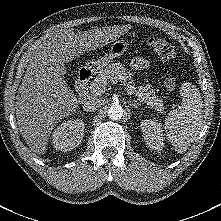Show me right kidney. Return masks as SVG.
I'll use <instances>...</instances> for the list:
<instances>
[{
    "label": "right kidney",
    "instance_id": "1",
    "mask_svg": "<svg viewBox=\"0 0 221 221\" xmlns=\"http://www.w3.org/2000/svg\"><path fill=\"white\" fill-rule=\"evenodd\" d=\"M84 128L81 119L68 120L59 125L52 135L55 150L66 152L77 147L83 138Z\"/></svg>",
    "mask_w": 221,
    "mask_h": 221
}]
</instances>
